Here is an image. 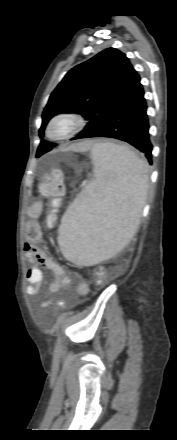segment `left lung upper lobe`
I'll return each instance as SVG.
<instances>
[{"instance_id":"5c2ea615","label":"left lung upper lobe","mask_w":177,"mask_h":440,"mask_svg":"<svg viewBox=\"0 0 177 440\" xmlns=\"http://www.w3.org/2000/svg\"><path fill=\"white\" fill-rule=\"evenodd\" d=\"M140 83V77L126 55L108 48L72 68L52 92L42 114L40 137L48 121L59 113H77L89 120L83 138L102 126L120 108ZM55 144L42 140L36 157Z\"/></svg>"}]
</instances>
